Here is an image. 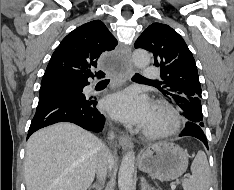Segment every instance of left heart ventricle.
<instances>
[{
    "mask_svg": "<svg viewBox=\"0 0 234 190\" xmlns=\"http://www.w3.org/2000/svg\"><path fill=\"white\" fill-rule=\"evenodd\" d=\"M164 124H165L164 118L161 117L159 114L153 112V115L146 127L158 128V127H162Z\"/></svg>",
    "mask_w": 234,
    "mask_h": 190,
    "instance_id": "b2bd125f",
    "label": "left heart ventricle"
}]
</instances>
